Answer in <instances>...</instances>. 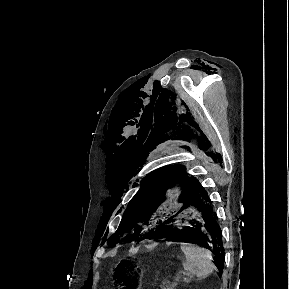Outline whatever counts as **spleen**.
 Returning <instances> with one entry per match:
<instances>
[{
  "mask_svg": "<svg viewBox=\"0 0 289 289\" xmlns=\"http://www.w3.org/2000/svg\"><path fill=\"white\" fill-rule=\"evenodd\" d=\"M180 248L185 255L182 263L186 272L195 274L198 279L206 278L215 269L211 253L205 248L182 242Z\"/></svg>",
  "mask_w": 289,
  "mask_h": 289,
  "instance_id": "1",
  "label": "spleen"
}]
</instances>
